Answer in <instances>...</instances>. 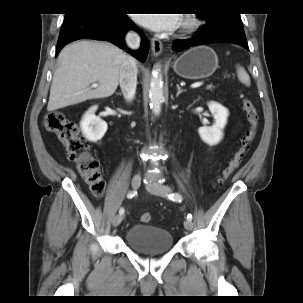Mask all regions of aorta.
Returning <instances> with one entry per match:
<instances>
[{
    "label": "aorta",
    "mask_w": 303,
    "mask_h": 303,
    "mask_svg": "<svg viewBox=\"0 0 303 303\" xmlns=\"http://www.w3.org/2000/svg\"><path fill=\"white\" fill-rule=\"evenodd\" d=\"M150 108L155 115H159L161 105L164 101L163 95V78L160 69H155L152 72L149 91Z\"/></svg>",
    "instance_id": "obj_1"
}]
</instances>
